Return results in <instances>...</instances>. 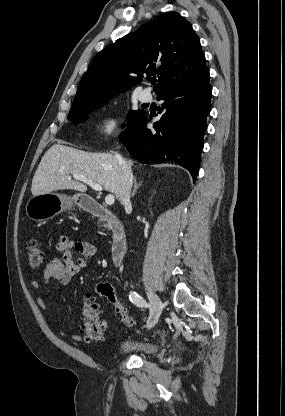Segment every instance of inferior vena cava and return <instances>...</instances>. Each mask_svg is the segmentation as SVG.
<instances>
[{
  "mask_svg": "<svg viewBox=\"0 0 285 416\" xmlns=\"http://www.w3.org/2000/svg\"><path fill=\"white\" fill-rule=\"evenodd\" d=\"M116 160H118V164L122 170L121 176V188H120V202L123 206H128L131 204L130 202V192L132 188V180L133 174L130 166H128L127 162L121 158L120 154H115Z\"/></svg>",
  "mask_w": 285,
  "mask_h": 416,
  "instance_id": "1",
  "label": "inferior vena cava"
}]
</instances>
